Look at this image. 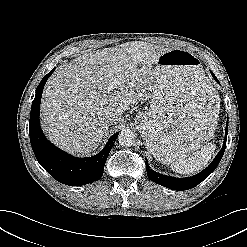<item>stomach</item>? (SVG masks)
Segmentation results:
<instances>
[{
	"label": "stomach",
	"instance_id": "1",
	"mask_svg": "<svg viewBox=\"0 0 247 247\" xmlns=\"http://www.w3.org/2000/svg\"><path fill=\"white\" fill-rule=\"evenodd\" d=\"M156 68L160 82L151 93L150 109L137 116L135 124L153 157L170 164L184 160L212 137L219 101L190 51H166Z\"/></svg>",
	"mask_w": 247,
	"mask_h": 247
}]
</instances>
